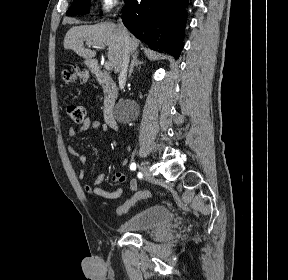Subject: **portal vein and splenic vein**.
I'll use <instances>...</instances> for the list:
<instances>
[{"instance_id": "1", "label": "portal vein and splenic vein", "mask_w": 288, "mask_h": 280, "mask_svg": "<svg viewBox=\"0 0 288 280\" xmlns=\"http://www.w3.org/2000/svg\"><path fill=\"white\" fill-rule=\"evenodd\" d=\"M89 44L96 45V46H98L99 48H102V49H104V47H105L104 44H102L100 42H89ZM105 69L106 70H111L112 69V64L110 62H106L105 63Z\"/></svg>"}]
</instances>
